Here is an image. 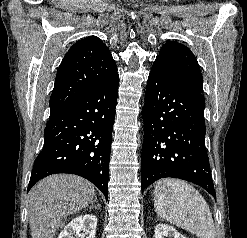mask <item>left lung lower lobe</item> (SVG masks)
I'll return each mask as SVG.
<instances>
[{"mask_svg": "<svg viewBox=\"0 0 247 238\" xmlns=\"http://www.w3.org/2000/svg\"><path fill=\"white\" fill-rule=\"evenodd\" d=\"M202 92L153 65L145 93L142 191L161 178L197 184L216 197L205 147Z\"/></svg>", "mask_w": 247, "mask_h": 238, "instance_id": "1", "label": "left lung lower lobe"}]
</instances>
